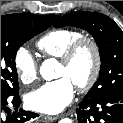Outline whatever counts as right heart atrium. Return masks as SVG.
I'll return each instance as SVG.
<instances>
[{
    "instance_id": "right-heart-atrium-1",
    "label": "right heart atrium",
    "mask_w": 123,
    "mask_h": 123,
    "mask_svg": "<svg viewBox=\"0 0 123 123\" xmlns=\"http://www.w3.org/2000/svg\"><path fill=\"white\" fill-rule=\"evenodd\" d=\"M13 64L19 80L31 84L36 80L38 64L26 47H20L14 54Z\"/></svg>"
}]
</instances>
